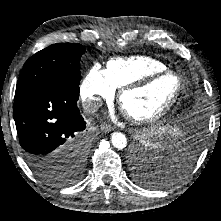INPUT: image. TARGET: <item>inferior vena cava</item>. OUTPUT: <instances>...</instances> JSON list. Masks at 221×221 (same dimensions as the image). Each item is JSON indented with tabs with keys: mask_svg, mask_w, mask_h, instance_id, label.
I'll return each mask as SVG.
<instances>
[{
	"mask_svg": "<svg viewBox=\"0 0 221 221\" xmlns=\"http://www.w3.org/2000/svg\"><path fill=\"white\" fill-rule=\"evenodd\" d=\"M83 109L86 113H95L101 106L102 101L98 98L87 99L82 103Z\"/></svg>",
	"mask_w": 221,
	"mask_h": 221,
	"instance_id": "602c4592",
	"label": "inferior vena cava"
}]
</instances>
